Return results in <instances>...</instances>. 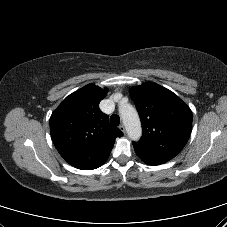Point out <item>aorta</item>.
<instances>
[{"mask_svg": "<svg viewBox=\"0 0 227 227\" xmlns=\"http://www.w3.org/2000/svg\"><path fill=\"white\" fill-rule=\"evenodd\" d=\"M119 113L126 128L128 137L134 141L139 140L142 134V128L136 109L128 103H122L119 106Z\"/></svg>", "mask_w": 227, "mask_h": 227, "instance_id": "obj_1", "label": "aorta"}]
</instances>
